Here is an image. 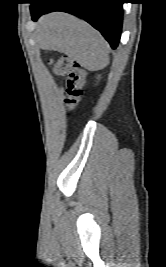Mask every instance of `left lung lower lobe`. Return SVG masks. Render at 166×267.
Here are the masks:
<instances>
[{
    "label": "left lung lower lobe",
    "mask_w": 166,
    "mask_h": 267,
    "mask_svg": "<svg viewBox=\"0 0 166 267\" xmlns=\"http://www.w3.org/2000/svg\"><path fill=\"white\" fill-rule=\"evenodd\" d=\"M30 3L34 21L51 11H66L99 30L113 49L119 43L125 0H31Z\"/></svg>",
    "instance_id": "obj_1"
}]
</instances>
